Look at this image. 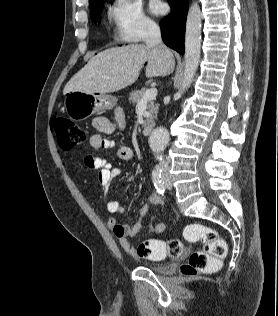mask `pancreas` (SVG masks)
<instances>
[{
    "label": "pancreas",
    "instance_id": "cf45deb5",
    "mask_svg": "<svg viewBox=\"0 0 278 316\" xmlns=\"http://www.w3.org/2000/svg\"><path fill=\"white\" fill-rule=\"evenodd\" d=\"M146 91L147 89L145 88L141 90L133 91L132 93H130L129 101L133 103L134 105L137 104L142 99ZM158 106L159 104L155 103L153 100L148 101L147 109L150 113V117L145 120V124L152 123L154 119L157 118Z\"/></svg>",
    "mask_w": 278,
    "mask_h": 316
}]
</instances>
